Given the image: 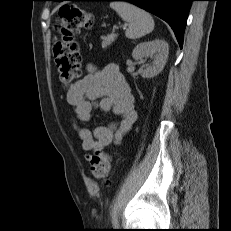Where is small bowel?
Here are the masks:
<instances>
[{
    "instance_id": "c3829d8e",
    "label": "small bowel",
    "mask_w": 231,
    "mask_h": 231,
    "mask_svg": "<svg viewBox=\"0 0 231 231\" xmlns=\"http://www.w3.org/2000/svg\"><path fill=\"white\" fill-rule=\"evenodd\" d=\"M66 98L74 109L72 126L85 152H97L111 144H120L137 119L130 85L113 63L102 69L89 64L87 74L68 88ZM96 108L111 110L120 119L95 129L80 126L79 123L91 120Z\"/></svg>"
}]
</instances>
